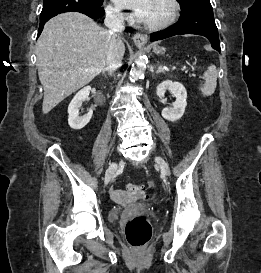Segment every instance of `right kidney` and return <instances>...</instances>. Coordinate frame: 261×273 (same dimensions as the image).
Returning <instances> with one entry per match:
<instances>
[{
  "label": "right kidney",
  "mask_w": 261,
  "mask_h": 273,
  "mask_svg": "<svg viewBox=\"0 0 261 273\" xmlns=\"http://www.w3.org/2000/svg\"><path fill=\"white\" fill-rule=\"evenodd\" d=\"M91 91L90 86H86L81 89L72 99L68 106V124L72 129L79 130L85 127L90 121L93 110L90 109L84 116H79V108L81 107L83 101H85Z\"/></svg>",
  "instance_id": "ca27d5eb"
}]
</instances>
